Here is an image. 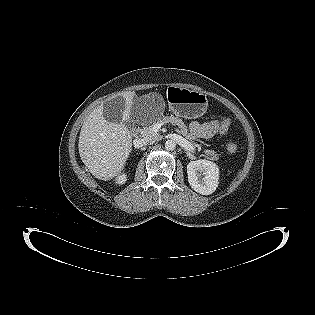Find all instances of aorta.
Instances as JSON below:
<instances>
[{
	"label": "aorta",
	"mask_w": 315,
	"mask_h": 315,
	"mask_svg": "<svg viewBox=\"0 0 315 315\" xmlns=\"http://www.w3.org/2000/svg\"><path fill=\"white\" fill-rule=\"evenodd\" d=\"M166 150L172 151L176 148V142L174 140H167L165 142Z\"/></svg>",
	"instance_id": "obj_1"
}]
</instances>
